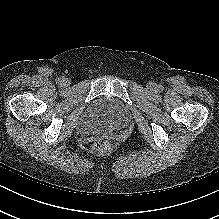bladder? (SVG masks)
I'll return each instance as SVG.
<instances>
[{"label": "bladder", "instance_id": "obj_1", "mask_svg": "<svg viewBox=\"0 0 219 219\" xmlns=\"http://www.w3.org/2000/svg\"><path fill=\"white\" fill-rule=\"evenodd\" d=\"M128 114L127 106L120 100L101 97L84 110L80 125L87 134H106L122 125Z\"/></svg>", "mask_w": 219, "mask_h": 219}]
</instances>
